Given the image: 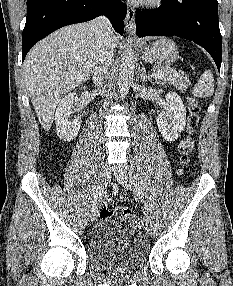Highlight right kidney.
Wrapping results in <instances>:
<instances>
[{
	"label": "right kidney",
	"instance_id": "obj_1",
	"mask_svg": "<svg viewBox=\"0 0 233 286\" xmlns=\"http://www.w3.org/2000/svg\"><path fill=\"white\" fill-rule=\"evenodd\" d=\"M78 101L76 93H69L61 99L57 107L55 113L56 132L63 141H72L80 130L81 118H72L71 115V110L78 105Z\"/></svg>",
	"mask_w": 233,
	"mask_h": 286
}]
</instances>
